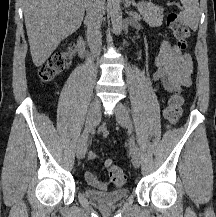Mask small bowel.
<instances>
[{
  "label": "small bowel",
  "instance_id": "obj_1",
  "mask_svg": "<svg viewBox=\"0 0 216 217\" xmlns=\"http://www.w3.org/2000/svg\"><path fill=\"white\" fill-rule=\"evenodd\" d=\"M154 66L153 79L159 92L171 93L191 85V75L193 72L192 58L178 46L168 41H163L160 51L155 57ZM95 158V153H88V159L94 160ZM111 164L110 160L105 162L108 168ZM84 176L88 184L101 190L107 189L110 184V182L100 180L90 170L86 171Z\"/></svg>",
  "mask_w": 216,
  "mask_h": 217
}]
</instances>
